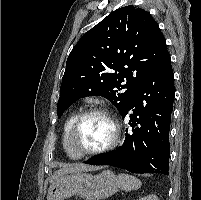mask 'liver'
Segmentation results:
<instances>
[{
	"label": "liver",
	"instance_id": "1",
	"mask_svg": "<svg viewBox=\"0 0 201 200\" xmlns=\"http://www.w3.org/2000/svg\"><path fill=\"white\" fill-rule=\"evenodd\" d=\"M91 169H94V168L85 166V165H80V164L69 165L67 167H63V168H60L57 171H55L50 180H51V182L57 181L65 175L80 173V172L88 171Z\"/></svg>",
	"mask_w": 201,
	"mask_h": 200
}]
</instances>
